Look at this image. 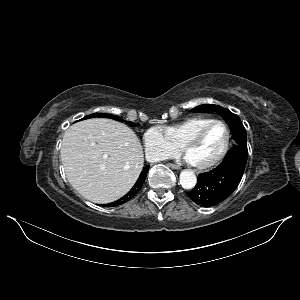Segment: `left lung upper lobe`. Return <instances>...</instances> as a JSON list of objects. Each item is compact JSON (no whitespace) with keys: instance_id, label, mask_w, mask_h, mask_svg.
Returning a JSON list of instances; mask_svg holds the SVG:
<instances>
[{"instance_id":"1","label":"left lung upper lobe","mask_w":300,"mask_h":300,"mask_svg":"<svg viewBox=\"0 0 300 300\" xmlns=\"http://www.w3.org/2000/svg\"><path fill=\"white\" fill-rule=\"evenodd\" d=\"M212 111H216L226 120V122L231 128L232 138L235 141V145L246 146L247 143L246 129L244 128L240 118L236 114L230 112L226 108H222L221 106L213 105V104L200 105L195 107L193 110V112H206V113Z\"/></svg>"}]
</instances>
